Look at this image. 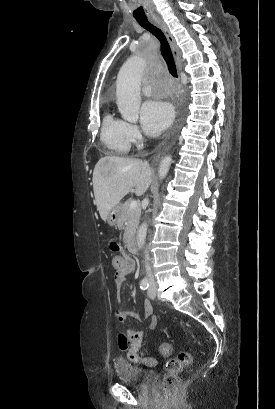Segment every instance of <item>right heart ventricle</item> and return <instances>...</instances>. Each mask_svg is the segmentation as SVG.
<instances>
[{"label":"right heart ventricle","instance_id":"e07e8e85","mask_svg":"<svg viewBox=\"0 0 275 409\" xmlns=\"http://www.w3.org/2000/svg\"><path fill=\"white\" fill-rule=\"evenodd\" d=\"M101 141L111 155H125L131 147L127 123L107 114L102 123Z\"/></svg>","mask_w":275,"mask_h":409}]
</instances>
